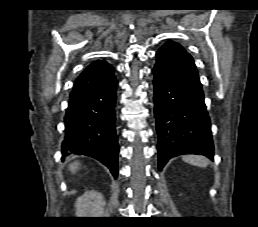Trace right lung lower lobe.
Returning <instances> with one entry per match:
<instances>
[{"label": "right lung lower lobe", "mask_w": 258, "mask_h": 227, "mask_svg": "<svg viewBox=\"0 0 258 227\" xmlns=\"http://www.w3.org/2000/svg\"><path fill=\"white\" fill-rule=\"evenodd\" d=\"M117 79L105 61L90 64L75 80L65 115L62 153L93 157L117 177L115 129Z\"/></svg>", "instance_id": "obj_1"}]
</instances>
